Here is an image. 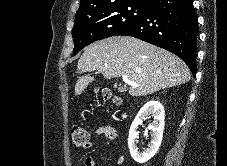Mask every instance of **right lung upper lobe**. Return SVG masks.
<instances>
[{
	"mask_svg": "<svg viewBox=\"0 0 227 166\" xmlns=\"http://www.w3.org/2000/svg\"><path fill=\"white\" fill-rule=\"evenodd\" d=\"M154 1L155 0H81L80 7L76 14H81V13L109 7V6L127 4V3H139V4L149 6Z\"/></svg>",
	"mask_w": 227,
	"mask_h": 166,
	"instance_id": "1",
	"label": "right lung upper lobe"
}]
</instances>
